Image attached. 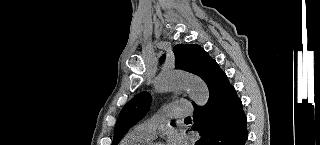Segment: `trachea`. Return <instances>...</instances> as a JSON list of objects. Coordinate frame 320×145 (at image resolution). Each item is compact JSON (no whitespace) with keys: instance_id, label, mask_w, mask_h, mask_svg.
Instances as JSON below:
<instances>
[{"instance_id":"trachea-1","label":"trachea","mask_w":320,"mask_h":145,"mask_svg":"<svg viewBox=\"0 0 320 145\" xmlns=\"http://www.w3.org/2000/svg\"><path fill=\"white\" fill-rule=\"evenodd\" d=\"M185 119H191V117H186Z\"/></svg>"}]
</instances>
